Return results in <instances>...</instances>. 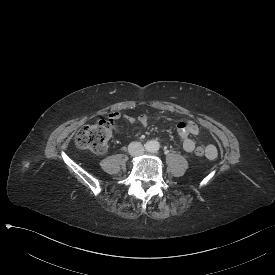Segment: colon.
<instances>
[{
  "label": "colon",
  "mask_w": 275,
  "mask_h": 275,
  "mask_svg": "<svg viewBox=\"0 0 275 275\" xmlns=\"http://www.w3.org/2000/svg\"><path fill=\"white\" fill-rule=\"evenodd\" d=\"M113 132V120L88 124L78 131L75 142L80 149L102 152L107 148ZM195 153L202 156L205 154V148L197 147Z\"/></svg>",
  "instance_id": "colon-1"
}]
</instances>
